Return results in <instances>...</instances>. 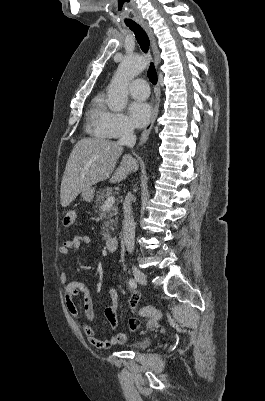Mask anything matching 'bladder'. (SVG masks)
<instances>
[{"label":"bladder","instance_id":"1","mask_svg":"<svg viewBox=\"0 0 265 401\" xmlns=\"http://www.w3.org/2000/svg\"><path fill=\"white\" fill-rule=\"evenodd\" d=\"M150 339L141 338L129 345L131 350H142L149 345Z\"/></svg>","mask_w":265,"mask_h":401}]
</instances>
